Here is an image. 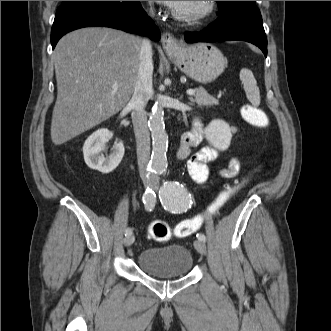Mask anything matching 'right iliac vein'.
<instances>
[{"label": "right iliac vein", "mask_w": 331, "mask_h": 331, "mask_svg": "<svg viewBox=\"0 0 331 331\" xmlns=\"http://www.w3.org/2000/svg\"><path fill=\"white\" fill-rule=\"evenodd\" d=\"M134 240H135V238H134V236L132 234L131 235H127L124 238V245L125 246H130V245L133 244Z\"/></svg>", "instance_id": "right-iliac-vein-1"}]
</instances>
